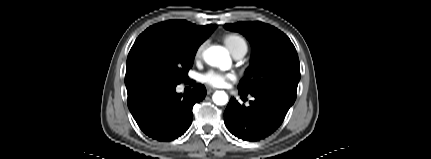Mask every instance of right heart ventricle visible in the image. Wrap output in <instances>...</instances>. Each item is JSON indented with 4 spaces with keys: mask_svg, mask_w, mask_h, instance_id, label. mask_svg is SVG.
<instances>
[{
    "mask_svg": "<svg viewBox=\"0 0 431 159\" xmlns=\"http://www.w3.org/2000/svg\"><path fill=\"white\" fill-rule=\"evenodd\" d=\"M224 42L231 51V53H235L241 48H246V41L243 37L236 35V34H229L224 37Z\"/></svg>",
    "mask_w": 431,
    "mask_h": 159,
    "instance_id": "1",
    "label": "right heart ventricle"
}]
</instances>
